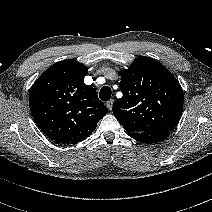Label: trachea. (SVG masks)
Wrapping results in <instances>:
<instances>
[{
	"mask_svg": "<svg viewBox=\"0 0 212 212\" xmlns=\"http://www.w3.org/2000/svg\"><path fill=\"white\" fill-rule=\"evenodd\" d=\"M99 98L102 101H108L111 98V89L108 86H103L99 93Z\"/></svg>",
	"mask_w": 212,
	"mask_h": 212,
	"instance_id": "obj_1",
	"label": "trachea"
}]
</instances>
